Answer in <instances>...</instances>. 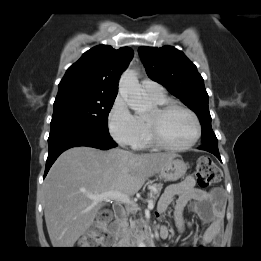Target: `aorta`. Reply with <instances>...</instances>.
Returning a JSON list of instances; mask_svg holds the SVG:
<instances>
[{"mask_svg": "<svg viewBox=\"0 0 261 261\" xmlns=\"http://www.w3.org/2000/svg\"><path fill=\"white\" fill-rule=\"evenodd\" d=\"M119 93L127 102L129 107L137 113L145 112L149 109V103L144 99L142 89L139 85L137 75L132 70H126L119 81ZM138 247H145V243L140 240Z\"/></svg>", "mask_w": 261, "mask_h": 261, "instance_id": "aorta-1", "label": "aorta"}]
</instances>
